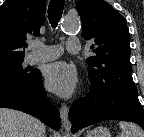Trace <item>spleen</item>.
Here are the masks:
<instances>
[{
  "label": "spleen",
  "mask_w": 144,
  "mask_h": 137,
  "mask_svg": "<svg viewBox=\"0 0 144 137\" xmlns=\"http://www.w3.org/2000/svg\"><path fill=\"white\" fill-rule=\"evenodd\" d=\"M121 133L118 137H144V132L134 123L121 121L119 122Z\"/></svg>",
  "instance_id": "obj_1"
}]
</instances>
